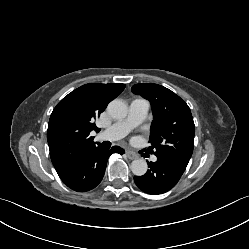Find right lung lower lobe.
<instances>
[{"label":"right lung lower lobe","mask_w":249,"mask_h":249,"mask_svg":"<svg viewBox=\"0 0 249 249\" xmlns=\"http://www.w3.org/2000/svg\"><path fill=\"white\" fill-rule=\"evenodd\" d=\"M123 154L124 150L114 146L110 150L98 144L88 150L72 168L61 178L70 189L85 192L95 188L102 180L109 156L114 153Z\"/></svg>","instance_id":"obj_1"}]
</instances>
